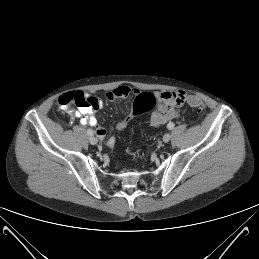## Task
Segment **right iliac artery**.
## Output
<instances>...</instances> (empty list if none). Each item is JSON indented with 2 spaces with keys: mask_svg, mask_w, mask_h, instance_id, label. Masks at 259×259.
Masks as SVG:
<instances>
[{
  "mask_svg": "<svg viewBox=\"0 0 259 259\" xmlns=\"http://www.w3.org/2000/svg\"><path fill=\"white\" fill-rule=\"evenodd\" d=\"M87 134H88L89 136H93L94 132H93L92 129H88V130H87Z\"/></svg>",
  "mask_w": 259,
  "mask_h": 259,
  "instance_id": "right-iliac-artery-1",
  "label": "right iliac artery"
}]
</instances>
